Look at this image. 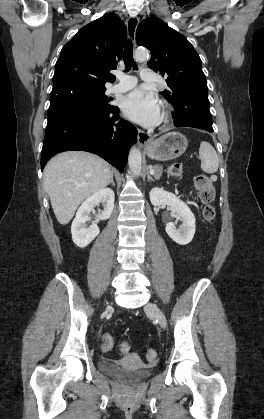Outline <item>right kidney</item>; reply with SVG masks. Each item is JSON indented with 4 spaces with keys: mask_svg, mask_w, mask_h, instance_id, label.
Wrapping results in <instances>:
<instances>
[{
    "mask_svg": "<svg viewBox=\"0 0 264 419\" xmlns=\"http://www.w3.org/2000/svg\"><path fill=\"white\" fill-rule=\"evenodd\" d=\"M115 194L112 189L104 188L89 196L77 210L72 222L71 233L73 242L80 248L86 247L100 233L97 226L99 220L110 218L114 209ZM103 204L104 210L96 215L95 221L89 227L86 222L90 221L89 214L94 211V207Z\"/></svg>",
    "mask_w": 264,
    "mask_h": 419,
    "instance_id": "obj_1",
    "label": "right kidney"
}]
</instances>
